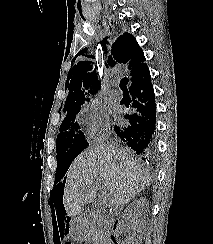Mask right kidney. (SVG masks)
I'll return each mask as SVG.
<instances>
[{
  "mask_svg": "<svg viewBox=\"0 0 213 244\" xmlns=\"http://www.w3.org/2000/svg\"><path fill=\"white\" fill-rule=\"evenodd\" d=\"M145 208H148V201L144 197H141L140 199L133 201V204L129 206L126 213L123 215V223H125V225L127 226H133L134 224H137L139 221H135V217H137L138 211L140 209Z\"/></svg>",
  "mask_w": 213,
  "mask_h": 244,
  "instance_id": "1",
  "label": "right kidney"
}]
</instances>
